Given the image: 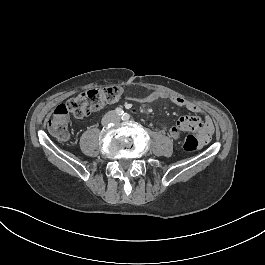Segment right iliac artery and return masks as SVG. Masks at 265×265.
Returning <instances> with one entry per match:
<instances>
[{"mask_svg":"<svg viewBox=\"0 0 265 265\" xmlns=\"http://www.w3.org/2000/svg\"><path fill=\"white\" fill-rule=\"evenodd\" d=\"M115 112H116V114H117L118 116H123V115H124V111H123V109H121V108H116Z\"/></svg>","mask_w":265,"mask_h":265,"instance_id":"obj_1","label":"right iliac artery"}]
</instances>
